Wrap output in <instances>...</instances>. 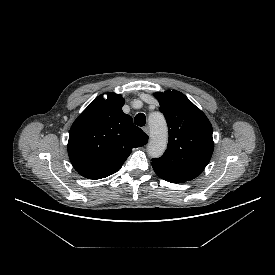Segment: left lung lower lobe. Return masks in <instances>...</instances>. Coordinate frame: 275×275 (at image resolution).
Returning <instances> with one entry per match:
<instances>
[{"label":"left lung lower lobe","instance_id":"1","mask_svg":"<svg viewBox=\"0 0 275 275\" xmlns=\"http://www.w3.org/2000/svg\"><path fill=\"white\" fill-rule=\"evenodd\" d=\"M154 171L156 172V174H157L160 178H162V179H164V180H166V181H168V182H171V183H182V182H186V181H184V180H182V179H180V178H178V177H175V176H172V175H169V174H166V173H162V172L158 171L157 169H154Z\"/></svg>","mask_w":275,"mask_h":275}]
</instances>
